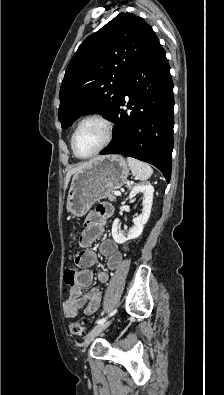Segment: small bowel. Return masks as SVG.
Masks as SVG:
<instances>
[{
  "label": "small bowel",
  "instance_id": "1",
  "mask_svg": "<svg viewBox=\"0 0 224 395\" xmlns=\"http://www.w3.org/2000/svg\"><path fill=\"white\" fill-rule=\"evenodd\" d=\"M112 213L113 207L108 203H102L88 215L80 241L86 249L76 257V264L80 267V271L77 273L74 286L71 287L69 298L63 304L64 314L67 318L76 317L81 309H84L86 315H91L100 305L101 292L98 288L94 287L83 293V289L92 284L93 273L90 268L97 262L96 251L88 247L101 238L106 220ZM99 254L106 260V265L111 271L116 270L122 262V253L118 250L117 243L111 239L101 242ZM108 279V272L104 270L97 272L98 282L104 284Z\"/></svg>",
  "mask_w": 224,
  "mask_h": 395
}]
</instances>
